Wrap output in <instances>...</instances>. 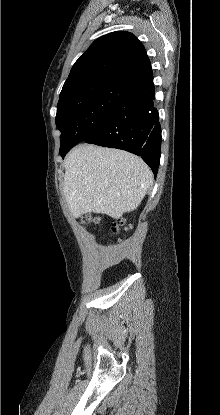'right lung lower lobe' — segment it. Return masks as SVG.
Here are the masks:
<instances>
[{"mask_svg": "<svg viewBox=\"0 0 220 415\" xmlns=\"http://www.w3.org/2000/svg\"><path fill=\"white\" fill-rule=\"evenodd\" d=\"M154 98L152 79L120 102L85 142L139 155L156 177L161 155V127ZM69 150H60V155L64 157Z\"/></svg>", "mask_w": 220, "mask_h": 415, "instance_id": "obj_1", "label": "right lung lower lobe"}]
</instances>
